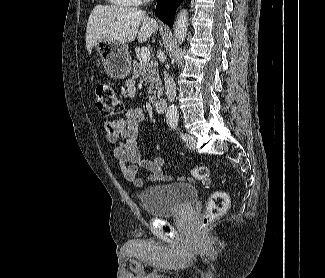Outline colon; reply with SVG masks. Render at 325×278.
<instances>
[{"label": "colon", "instance_id": "1", "mask_svg": "<svg viewBox=\"0 0 325 278\" xmlns=\"http://www.w3.org/2000/svg\"><path fill=\"white\" fill-rule=\"evenodd\" d=\"M95 104L98 111L106 117H113L124 111L122 100L109 84H99L96 87ZM191 176L197 181L209 182L211 180V171L206 166H197L191 169ZM228 203V194L223 190H215L207 202L201 229L204 230L210 223L218 219L225 212Z\"/></svg>", "mask_w": 325, "mask_h": 278}]
</instances>
